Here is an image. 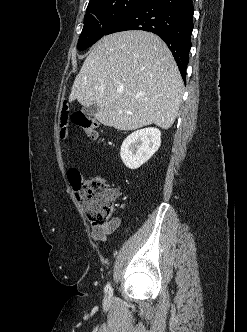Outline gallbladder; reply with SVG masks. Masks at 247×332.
Instances as JSON below:
<instances>
[{"label":"gallbladder","instance_id":"1","mask_svg":"<svg viewBox=\"0 0 247 332\" xmlns=\"http://www.w3.org/2000/svg\"><path fill=\"white\" fill-rule=\"evenodd\" d=\"M82 111H83L84 113L89 114V115H95V114L97 113V111H98V107H97L96 104H93V105L88 106V107H85V106H84V107L82 108Z\"/></svg>","mask_w":247,"mask_h":332}]
</instances>
